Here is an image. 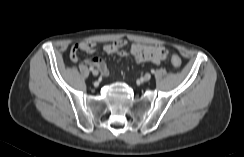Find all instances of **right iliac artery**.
I'll return each instance as SVG.
<instances>
[{
	"label": "right iliac artery",
	"mask_w": 244,
	"mask_h": 157,
	"mask_svg": "<svg viewBox=\"0 0 244 157\" xmlns=\"http://www.w3.org/2000/svg\"><path fill=\"white\" fill-rule=\"evenodd\" d=\"M90 70L93 72L94 71V68L93 67H90Z\"/></svg>",
	"instance_id": "right-iliac-artery-1"
}]
</instances>
